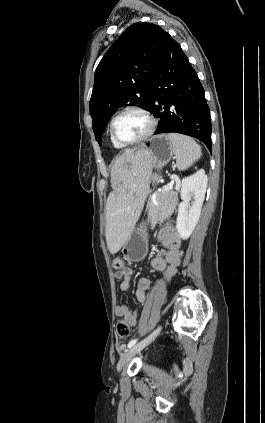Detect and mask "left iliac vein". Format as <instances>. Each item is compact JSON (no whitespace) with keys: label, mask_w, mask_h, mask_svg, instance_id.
I'll use <instances>...</instances> for the list:
<instances>
[{"label":"left iliac vein","mask_w":265,"mask_h":423,"mask_svg":"<svg viewBox=\"0 0 265 423\" xmlns=\"http://www.w3.org/2000/svg\"><path fill=\"white\" fill-rule=\"evenodd\" d=\"M161 332V327H158L156 330H154L148 337L140 341L139 343L135 344L134 346L127 349L121 356L118 364H117V370L120 371L128 361H130L137 353H139L141 350H143L146 346H148L150 343H152L157 336Z\"/></svg>","instance_id":"left-iliac-vein-1"}]
</instances>
